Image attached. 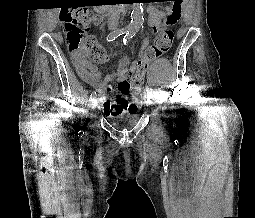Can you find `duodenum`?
<instances>
[{
  "instance_id": "410a0bca",
  "label": "duodenum",
  "mask_w": 255,
  "mask_h": 218,
  "mask_svg": "<svg viewBox=\"0 0 255 218\" xmlns=\"http://www.w3.org/2000/svg\"><path fill=\"white\" fill-rule=\"evenodd\" d=\"M96 9H97V11L100 12V13L103 12V8H101V7H97Z\"/></svg>"
}]
</instances>
